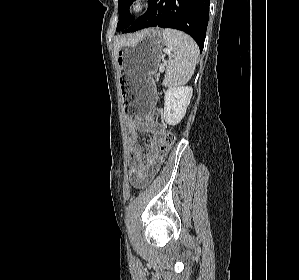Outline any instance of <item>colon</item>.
<instances>
[{
	"mask_svg": "<svg viewBox=\"0 0 299 280\" xmlns=\"http://www.w3.org/2000/svg\"><path fill=\"white\" fill-rule=\"evenodd\" d=\"M158 114H159V111L158 110H154V111H152L148 115L147 119L150 120V121L156 122L157 118H158ZM174 143H175V135H174V133L172 131L168 130L166 132L165 143H164V145L162 147V151H161V159H162V161L164 160L165 156L170 151V149L172 148V146L174 145ZM148 181L149 180L141 182V183H138V184H135V185L138 186V187H142V186L146 185Z\"/></svg>",
	"mask_w": 299,
	"mask_h": 280,
	"instance_id": "5ec220e1",
	"label": "colon"
}]
</instances>
